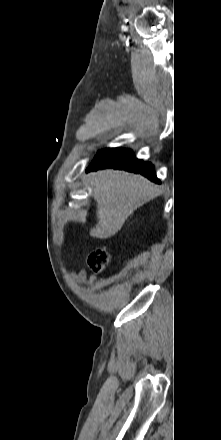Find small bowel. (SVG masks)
Returning a JSON list of instances; mask_svg holds the SVG:
<instances>
[{
    "label": "small bowel",
    "mask_w": 221,
    "mask_h": 440,
    "mask_svg": "<svg viewBox=\"0 0 221 440\" xmlns=\"http://www.w3.org/2000/svg\"><path fill=\"white\" fill-rule=\"evenodd\" d=\"M75 276H76V278L79 279V280H84V279H85V273H84V271H79V272L75 273Z\"/></svg>",
    "instance_id": "1"
}]
</instances>
